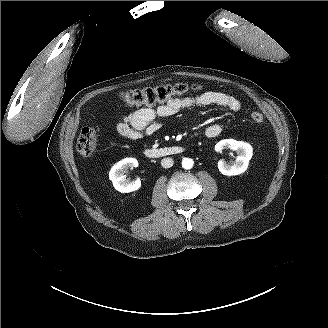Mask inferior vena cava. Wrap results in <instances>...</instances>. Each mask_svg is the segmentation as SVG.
I'll return each mask as SVG.
<instances>
[{
	"label": "inferior vena cava",
	"mask_w": 328,
	"mask_h": 328,
	"mask_svg": "<svg viewBox=\"0 0 328 328\" xmlns=\"http://www.w3.org/2000/svg\"><path fill=\"white\" fill-rule=\"evenodd\" d=\"M161 165L163 168H170L173 166V159L171 158H163L161 160Z\"/></svg>",
	"instance_id": "obj_1"
}]
</instances>
